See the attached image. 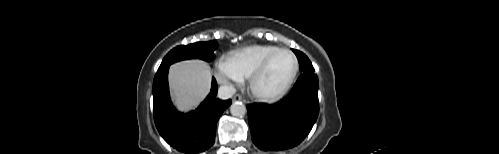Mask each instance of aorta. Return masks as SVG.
<instances>
[{"label": "aorta", "instance_id": "obj_1", "mask_svg": "<svg viewBox=\"0 0 499 154\" xmlns=\"http://www.w3.org/2000/svg\"><path fill=\"white\" fill-rule=\"evenodd\" d=\"M246 112V106L242 102H234L230 106V113L235 117L243 116Z\"/></svg>", "mask_w": 499, "mask_h": 154}]
</instances>
